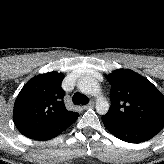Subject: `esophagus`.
Here are the masks:
<instances>
[{
    "label": "esophagus",
    "mask_w": 164,
    "mask_h": 164,
    "mask_svg": "<svg viewBox=\"0 0 164 164\" xmlns=\"http://www.w3.org/2000/svg\"><path fill=\"white\" fill-rule=\"evenodd\" d=\"M92 107H94V101H90L87 105L83 106L84 109H88Z\"/></svg>",
    "instance_id": "esophagus-1"
}]
</instances>
